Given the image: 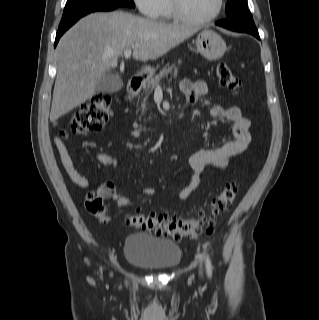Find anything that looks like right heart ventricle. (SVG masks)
Returning a JSON list of instances; mask_svg holds the SVG:
<instances>
[{
    "label": "right heart ventricle",
    "mask_w": 319,
    "mask_h": 320,
    "mask_svg": "<svg viewBox=\"0 0 319 320\" xmlns=\"http://www.w3.org/2000/svg\"><path fill=\"white\" fill-rule=\"evenodd\" d=\"M166 18H171V11H170V3L169 0H166L165 2V6H164V10H163V14Z\"/></svg>",
    "instance_id": "obj_1"
}]
</instances>
